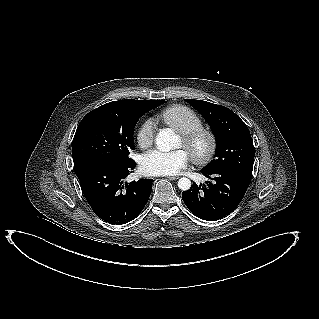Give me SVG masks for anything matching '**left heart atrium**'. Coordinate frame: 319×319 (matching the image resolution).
<instances>
[{
	"label": "left heart atrium",
	"instance_id": "1",
	"mask_svg": "<svg viewBox=\"0 0 319 319\" xmlns=\"http://www.w3.org/2000/svg\"><path fill=\"white\" fill-rule=\"evenodd\" d=\"M188 153L183 149L164 152L151 150L140 160L141 171L148 176L173 175L187 166Z\"/></svg>",
	"mask_w": 319,
	"mask_h": 319
}]
</instances>
